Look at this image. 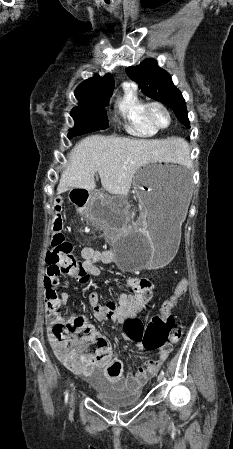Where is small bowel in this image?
Segmentation results:
<instances>
[{"label":"small bowel","instance_id":"c3829d8e","mask_svg":"<svg viewBox=\"0 0 233 449\" xmlns=\"http://www.w3.org/2000/svg\"><path fill=\"white\" fill-rule=\"evenodd\" d=\"M80 255L82 260L76 267H69L64 270L58 264H49L46 267L43 276V289L48 308L52 309L57 305L65 304L68 299L65 292H59L58 290L62 274H67L84 283L90 278L101 275L100 264H108L114 261V255L111 251H98L87 246L81 249ZM126 285L132 289V294L122 293L118 302L109 301L106 304L93 305V314L97 320L108 319L126 325L129 319H137L138 313L152 298L154 284L152 279L147 278L145 274H136L134 278L127 279ZM123 339L129 341V338ZM74 341V338L70 339L69 344L73 346ZM136 344L139 348H142L141 343ZM52 345L55 350V344L52 343ZM74 353L84 362L83 366L78 369L81 373L93 375L105 371L111 383L137 387L145 384L157 373L167 358L169 350L161 349L157 359H149L134 374H128L125 377L122 374V363L118 359L112 358L111 348L105 358L106 362L97 361L94 354L81 349L76 350L74 348Z\"/></svg>","mask_w":233,"mask_h":449}]
</instances>
